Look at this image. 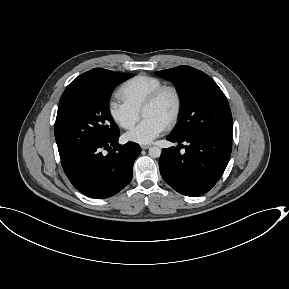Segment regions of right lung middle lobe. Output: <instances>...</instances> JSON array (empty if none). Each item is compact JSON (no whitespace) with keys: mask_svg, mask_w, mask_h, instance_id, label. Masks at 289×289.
Returning a JSON list of instances; mask_svg holds the SVG:
<instances>
[{"mask_svg":"<svg viewBox=\"0 0 289 289\" xmlns=\"http://www.w3.org/2000/svg\"><path fill=\"white\" fill-rule=\"evenodd\" d=\"M130 73H113L96 84L68 85L61 96L54 133L61 159L105 142L119 133L108 110V97Z\"/></svg>","mask_w":289,"mask_h":289,"instance_id":"obj_1","label":"right lung middle lobe"}]
</instances>
